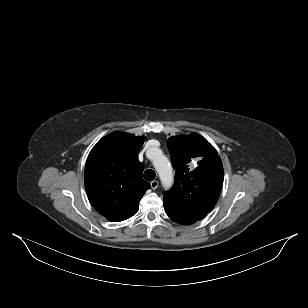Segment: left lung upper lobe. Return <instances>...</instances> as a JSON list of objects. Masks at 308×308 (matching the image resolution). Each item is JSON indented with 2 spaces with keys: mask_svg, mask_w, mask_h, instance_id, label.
<instances>
[{
  "mask_svg": "<svg viewBox=\"0 0 308 308\" xmlns=\"http://www.w3.org/2000/svg\"><path fill=\"white\" fill-rule=\"evenodd\" d=\"M175 183L164 192L167 215L182 225L203 219L218 201L223 184V166L215 148L197 133L167 140Z\"/></svg>",
  "mask_w": 308,
  "mask_h": 308,
  "instance_id": "1",
  "label": "left lung upper lobe"
}]
</instances>
